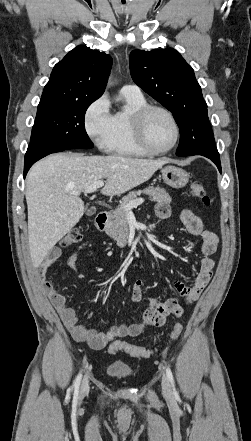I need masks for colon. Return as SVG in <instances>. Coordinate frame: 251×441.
<instances>
[{
  "label": "colon",
  "instance_id": "obj_1",
  "mask_svg": "<svg viewBox=\"0 0 251 441\" xmlns=\"http://www.w3.org/2000/svg\"><path fill=\"white\" fill-rule=\"evenodd\" d=\"M189 193L191 196L198 198L203 205L209 206L211 203L210 197L207 195L205 188L201 181L194 180L190 183ZM82 239V232L78 228H74L67 232L60 241L61 247H68L80 242ZM183 331V325L181 323H176L171 330L169 335V341L177 339ZM118 351H123L132 357L146 358L149 357L154 349L137 346L129 344L125 341L116 340L112 342L109 346L110 353H116Z\"/></svg>",
  "mask_w": 251,
  "mask_h": 441
}]
</instances>
